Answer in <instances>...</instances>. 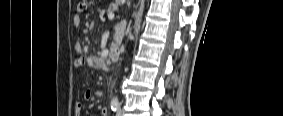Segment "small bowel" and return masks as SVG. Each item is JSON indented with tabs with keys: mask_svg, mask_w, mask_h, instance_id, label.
Listing matches in <instances>:
<instances>
[{
	"mask_svg": "<svg viewBox=\"0 0 283 116\" xmlns=\"http://www.w3.org/2000/svg\"><path fill=\"white\" fill-rule=\"evenodd\" d=\"M73 25L75 27H80L82 25V18L79 14H75L73 16ZM74 49L76 51V53L82 55L83 54V48H82V45L77 42L75 45H74ZM96 64V60L92 57H88V56H81L79 57L76 62H75V66L76 67H84L86 65H89V66H94ZM94 98V93L93 91L91 90H86L85 93H84V99L85 100H91ZM83 107L81 104H77L76 106V115H80L81 114V111H82ZM100 115L101 116H107L109 115V111H108V108L107 107H102L101 110H100Z\"/></svg>",
	"mask_w": 283,
	"mask_h": 116,
	"instance_id": "obj_1",
	"label": "small bowel"
}]
</instances>
